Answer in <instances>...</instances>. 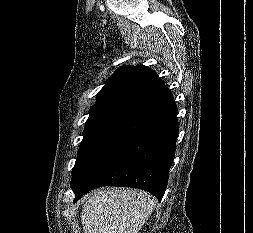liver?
<instances>
[{
  "label": "liver",
  "instance_id": "liver-1",
  "mask_svg": "<svg viewBox=\"0 0 253 233\" xmlns=\"http://www.w3.org/2000/svg\"><path fill=\"white\" fill-rule=\"evenodd\" d=\"M155 208L148 194L110 188L90 193L83 204L84 233H138Z\"/></svg>",
  "mask_w": 253,
  "mask_h": 233
}]
</instances>
